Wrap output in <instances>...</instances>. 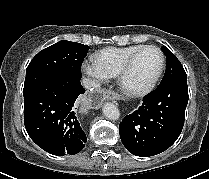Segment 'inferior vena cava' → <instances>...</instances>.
Returning <instances> with one entry per match:
<instances>
[{
    "instance_id": "602c4592",
    "label": "inferior vena cava",
    "mask_w": 209,
    "mask_h": 179,
    "mask_svg": "<svg viewBox=\"0 0 209 179\" xmlns=\"http://www.w3.org/2000/svg\"><path fill=\"white\" fill-rule=\"evenodd\" d=\"M82 83H83L84 88L86 89L99 87V83L96 80H93L90 78H84Z\"/></svg>"
}]
</instances>
